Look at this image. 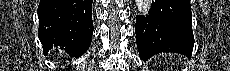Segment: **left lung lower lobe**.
Returning <instances> with one entry per match:
<instances>
[{"mask_svg": "<svg viewBox=\"0 0 230 71\" xmlns=\"http://www.w3.org/2000/svg\"><path fill=\"white\" fill-rule=\"evenodd\" d=\"M135 33L140 59L161 52L192 55L194 36L189 0H154L147 16L136 17Z\"/></svg>", "mask_w": 230, "mask_h": 71, "instance_id": "1", "label": "left lung lower lobe"}]
</instances>
